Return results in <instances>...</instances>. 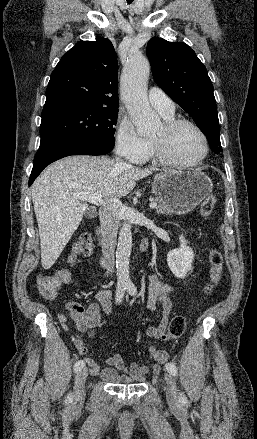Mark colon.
<instances>
[{
    "label": "colon",
    "instance_id": "colon-1",
    "mask_svg": "<svg viewBox=\"0 0 257 439\" xmlns=\"http://www.w3.org/2000/svg\"><path fill=\"white\" fill-rule=\"evenodd\" d=\"M216 204L214 195L207 196L200 207L203 217L211 214ZM92 251V240L89 234H82L79 241L73 246L69 261L73 262L79 256H88ZM210 280L206 286V293L219 283L223 268V255L217 248L211 249L209 253ZM70 279L67 269H61L52 276H40L37 278V286L42 296L50 298L57 294L62 285ZM187 322L183 316H175L171 319L166 331L160 336L163 342L181 337L186 330Z\"/></svg>",
    "mask_w": 257,
    "mask_h": 439
}]
</instances>
